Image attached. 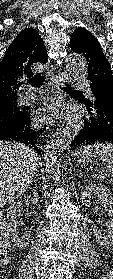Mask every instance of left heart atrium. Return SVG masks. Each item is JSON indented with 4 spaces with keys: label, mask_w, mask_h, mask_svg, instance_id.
Segmentation results:
<instances>
[{
    "label": "left heart atrium",
    "mask_w": 113,
    "mask_h": 279,
    "mask_svg": "<svg viewBox=\"0 0 113 279\" xmlns=\"http://www.w3.org/2000/svg\"><path fill=\"white\" fill-rule=\"evenodd\" d=\"M59 106L53 101H46L38 111V118L40 120H50L57 115Z\"/></svg>",
    "instance_id": "1"
}]
</instances>
